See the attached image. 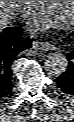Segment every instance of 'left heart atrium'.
Listing matches in <instances>:
<instances>
[{
  "label": "left heart atrium",
  "mask_w": 74,
  "mask_h": 122,
  "mask_svg": "<svg viewBox=\"0 0 74 122\" xmlns=\"http://www.w3.org/2000/svg\"><path fill=\"white\" fill-rule=\"evenodd\" d=\"M62 19L57 18L50 9L43 10L36 21L37 26L49 27L58 25Z\"/></svg>",
  "instance_id": "left-heart-atrium-1"
}]
</instances>
